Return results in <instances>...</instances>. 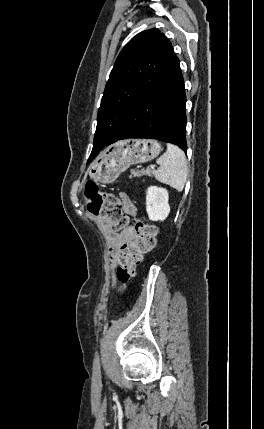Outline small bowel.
<instances>
[{
    "instance_id": "small-bowel-1",
    "label": "small bowel",
    "mask_w": 264,
    "mask_h": 429,
    "mask_svg": "<svg viewBox=\"0 0 264 429\" xmlns=\"http://www.w3.org/2000/svg\"><path fill=\"white\" fill-rule=\"evenodd\" d=\"M120 200L123 210L130 216H135L137 209L126 193H120ZM100 224L104 227L105 221L99 219ZM136 230L132 226L124 228L120 232L106 231L107 246L110 253V263L114 267L117 264V254L122 246L132 244L136 240Z\"/></svg>"
}]
</instances>
